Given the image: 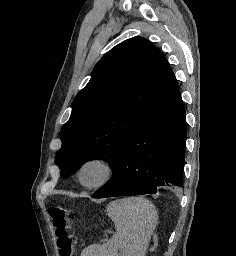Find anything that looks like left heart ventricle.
I'll use <instances>...</instances> for the list:
<instances>
[{"mask_svg": "<svg viewBox=\"0 0 236 256\" xmlns=\"http://www.w3.org/2000/svg\"><path fill=\"white\" fill-rule=\"evenodd\" d=\"M103 173L104 169L102 166L98 164H89L83 169L82 180L88 184L94 183L102 177Z\"/></svg>", "mask_w": 236, "mask_h": 256, "instance_id": "b2bd125f", "label": "left heart ventricle"}]
</instances>
